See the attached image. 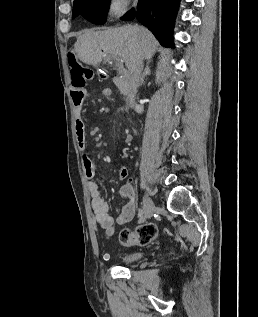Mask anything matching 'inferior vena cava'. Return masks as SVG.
Instances as JSON below:
<instances>
[{
  "label": "inferior vena cava",
  "mask_w": 258,
  "mask_h": 317,
  "mask_svg": "<svg viewBox=\"0 0 258 317\" xmlns=\"http://www.w3.org/2000/svg\"><path fill=\"white\" fill-rule=\"evenodd\" d=\"M143 68V56L142 54H136L135 60H133L129 68V80L127 86V100L131 106L135 104V96L137 92V86L139 84L141 72Z\"/></svg>",
  "instance_id": "inferior-vena-cava-1"
}]
</instances>
